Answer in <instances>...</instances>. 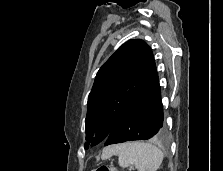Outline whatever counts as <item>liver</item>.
Wrapping results in <instances>:
<instances>
[{"mask_svg":"<svg viewBox=\"0 0 223 171\" xmlns=\"http://www.w3.org/2000/svg\"><path fill=\"white\" fill-rule=\"evenodd\" d=\"M115 146H111V147H108V148H105L103 150V153H102V159H107L111 156V154H113V149H114Z\"/></svg>","mask_w":223,"mask_h":171,"instance_id":"6515ba94","label":"liver"}]
</instances>
